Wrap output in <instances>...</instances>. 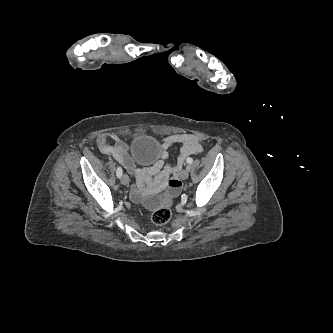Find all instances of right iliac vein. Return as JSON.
Listing matches in <instances>:
<instances>
[{
    "label": "right iliac vein",
    "instance_id": "right-iliac-vein-1",
    "mask_svg": "<svg viewBox=\"0 0 333 333\" xmlns=\"http://www.w3.org/2000/svg\"><path fill=\"white\" fill-rule=\"evenodd\" d=\"M120 181L123 185H127L129 183L128 175H126V174L122 175Z\"/></svg>",
    "mask_w": 333,
    "mask_h": 333
}]
</instances>
